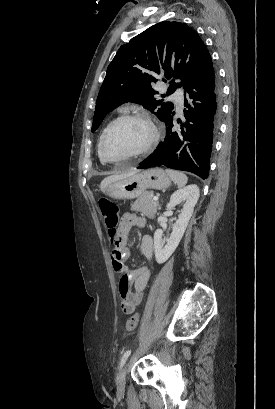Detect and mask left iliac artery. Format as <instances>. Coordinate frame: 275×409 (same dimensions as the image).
Returning <instances> with one entry per match:
<instances>
[{
  "label": "left iliac artery",
  "mask_w": 275,
  "mask_h": 409,
  "mask_svg": "<svg viewBox=\"0 0 275 409\" xmlns=\"http://www.w3.org/2000/svg\"><path fill=\"white\" fill-rule=\"evenodd\" d=\"M130 354H131V350H127V351L123 354V356H122V358H121V361H120V368L125 364L126 360H127L128 357L130 356Z\"/></svg>",
  "instance_id": "44dca946"
}]
</instances>
